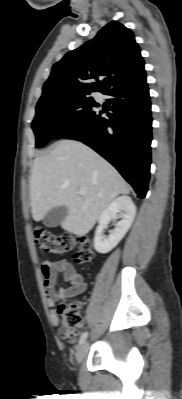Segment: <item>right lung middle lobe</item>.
<instances>
[{"instance_id": "1", "label": "right lung middle lobe", "mask_w": 182, "mask_h": 399, "mask_svg": "<svg viewBox=\"0 0 182 399\" xmlns=\"http://www.w3.org/2000/svg\"><path fill=\"white\" fill-rule=\"evenodd\" d=\"M95 101L88 95L53 97L39 101L32 128L36 147L41 148L53 138L81 129L95 114Z\"/></svg>"}]
</instances>
